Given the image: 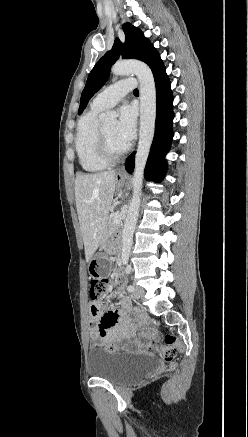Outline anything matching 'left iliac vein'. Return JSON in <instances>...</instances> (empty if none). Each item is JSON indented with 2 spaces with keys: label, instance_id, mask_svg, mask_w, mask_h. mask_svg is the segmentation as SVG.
Here are the masks:
<instances>
[{
  "label": "left iliac vein",
  "instance_id": "obj_1",
  "mask_svg": "<svg viewBox=\"0 0 248 437\" xmlns=\"http://www.w3.org/2000/svg\"><path fill=\"white\" fill-rule=\"evenodd\" d=\"M144 296V289L139 286H134V290L132 291V297L134 299H140Z\"/></svg>",
  "mask_w": 248,
  "mask_h": 437
}]
</instances>
